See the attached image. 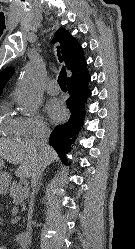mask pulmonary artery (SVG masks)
Masks as SVG:
<instances>
[{"instance_id":"pulmonary-artery-1","label":"pulmonary artery","mask_w":135,"mask_h":249,"mask_svg":"<svg viewBox=\"0 0 135 249\" xmlns=\"http://www.w3.org/2000/svg\"><path fill=\"white\" fill-rule=\"evenodd\" d=\"M46 91L50 95H56L60 91V87L55 80L49 81L46 85Z\"/></svg>"}]
</instances>
